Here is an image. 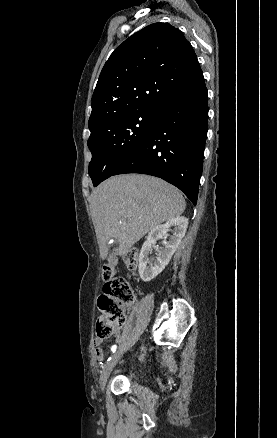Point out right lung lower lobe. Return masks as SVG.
<instances>
[{
  "label": "right lung lower lobe",
  "instance_id": "98d812e1",
  "mask_svg": "<svg viewBox=\"0 0 277 438\" xmlns=\"http://www.w3.org/2000/svg\"><path fill=\"white\" fill-rule=\"evenodd\" d=\"M170 67H164V71ZM207 122L208 94L202 76L159 103L145 139L113 175L160 177L182 190L196 205Z\"/></svg>",
  "mask_w": 277,
  "mask_h": 438
}]
</instances>
